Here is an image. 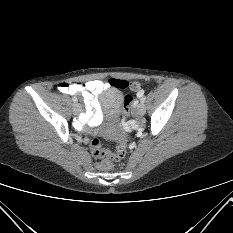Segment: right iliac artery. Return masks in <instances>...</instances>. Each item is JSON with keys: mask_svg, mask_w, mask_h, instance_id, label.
Listing matches in <instances>:
<instances>
[{"mask_svg": "<svg viewBox=\"0 0 233 233\" xmlns=\"http://www.w3.org/2000/svg\"><path fill=\"white\" fill-rule=\"evenodd\" d=\"M72 101H73L74 103H76V102H77V98H76V97H73V98H72Z\"/></svg>", "mask_w": 233, "mask_h": 233, "instance_id": "obj_1", "label": "right iliac artery"}]
</instances>
